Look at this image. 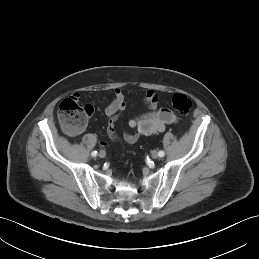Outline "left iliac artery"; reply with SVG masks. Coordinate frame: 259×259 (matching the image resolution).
Instances as JSON below:
<instances>
[{
    "label": "left iliac artery",
    "mask_w": 259,
    "mask_h": 259,
    "mask_svg": "<svg viewBox=\"0 0 259 259\" xmlns=\"http://www.w3.org/2000/svg\"><path fill=\"white\" fill-rule=\"evenodd\" d=\"M164 155H165V152H164V151H159V152H158V156H159V157H163Z\"/></svg>",
    "instance_id": "obj_1"
}]
</instances>
